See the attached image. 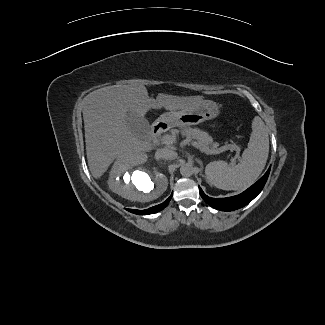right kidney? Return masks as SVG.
<instances>
[{
    "label": "right kidney",
    "mask_w": 325,
    "mask_h": 325,
    "mask_svg": "<svg viewBox=\"0 0 325 325\" xmlns=\"http://www.w3.org/2000/svg\"><path fill=\"white\" fill-rule=\"evenodd\" d=\"M146 161L144 157L117 159L110 172L109 188L132 201L149 202L160 197L167 189L168 180L163 174L150 170Z\"/></svg>",
    "instance_id": "1"
}]
</instances>
